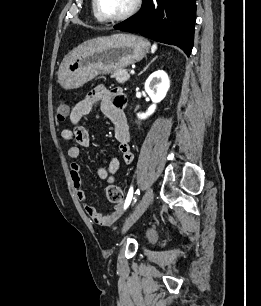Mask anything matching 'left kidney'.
Returning a JSON list of instances; mask_svg holds the SVG:
<instances>
[{"label":"left kidney","mask_w":261,"mask_h":306,"mask_svg":"<svg viewBox=\"0 0 261 306\" xmlns=\"http://www.w3.org/2000/svg\"><path fill=\"white\" fill-rule=\"evenodd\" d=\"M170 88V80L163 70L152 73L145 82V91L151 98L153 104L145 113H138L139 119H146L155 112L156 104L162 101Z\"/></svg>","instance_id":"1"}]
</instances>
